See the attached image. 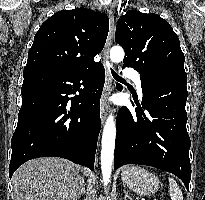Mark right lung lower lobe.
<instances>
[{
	"mask_svg": "<svg viewBox=\"0 0 205 200\" xmlns=\"http://www.w3.org/2000/svg\"><path fill=\"white\" fill-rule=\"evenodd\" d=\"M23 76L9 177L37 157H62L93 170L101 128L103 65L98 62L80 71L28 69ZM76 92L79 95L71 97Z\"/></svg>",
	"mask_w": 205,
	"mask_h": 200,
	"instance_id": "98d812e1",
	"label": "right lung lower lobe"
}]
</instances>
